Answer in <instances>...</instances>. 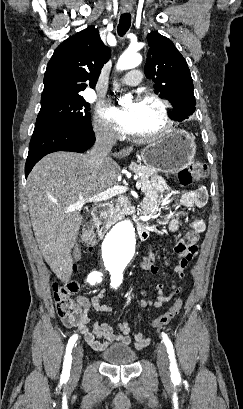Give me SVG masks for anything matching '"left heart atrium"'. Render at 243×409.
I'll return each instance as SVG.
<instances>
[{"instance_id": "39dd6f15", "label": "left heart atrium", "mask_w": 243, "mask_h": 409, "mask_svg": "<svg viewBox=\"0 0 243 409\" xmlns=\"http://www.w3.org/2000/svg\"><path fill=\"white\" fill-rule=\"evenodd\" d=\"M105 116L116 125L119 131L132 133L134 124V111L132 108L119 109L111 107L106 110Z\"/></svg>"}]
</instances>
